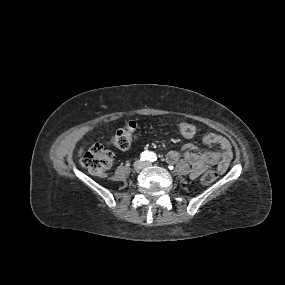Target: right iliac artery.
Here are the masks:
<instances>
[{"label": "right iliac artery", "mask_w": 285, "mask_h": 285, "mask_svg": "<svg viewBox=\"0 0 285 285\" xmlns=\"http://www.w3.org/2000/svg\"><path fill=\"white\" fill-rule=\"evenodd\" d=\"M150 159V152L144 151L141 153L140 160L141 161H148Z\"/></svg>", "instance_id": "1"}]
</instances>
